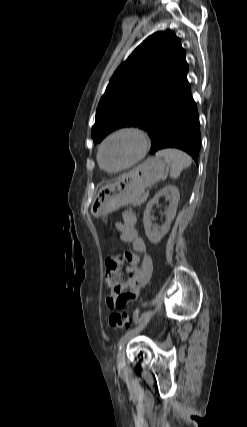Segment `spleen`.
Returning <instances> with one entry per match:
<instances>
[{
    "mask_svg": "<svg viewBox=\"0 0 247 427\" xmlns=\"http://www.w3.org/2000/svg\"><path fill=\"white\" fill-rule=\"evenodd\" d=\"M156 157H163L165 162L170 166V177L178 178L184 168L191 166L192 160L185 152L167 148L156 153Z\"/></svg>",
    "mask_w": 247,
    "mask_h": 427,
    "instance_id": "3e777b00",
    "label": "spleen"
}]
</instances>
